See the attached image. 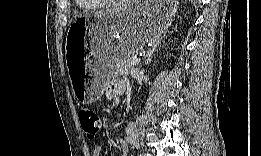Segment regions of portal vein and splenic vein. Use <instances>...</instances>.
Listing matches in <instances>:
<instances>
[{
    "label": "portal vein and splenic vein",
    "mask_w": 261,
    "mask_h": 156,
    "mask_svg": "<svg viewBox=\"0 0 261 156\" xmlns=\"http://www.w3.org/2000/svg\"><path fill=\"white\" fill-rule=\"evenodd\" d=\"M140 61H141V58L133 57L132 61L130 62V65L131 66L136 65V64L140 63Z\"/></svg>",
    "instance_id": "1"
}]
</instances>
